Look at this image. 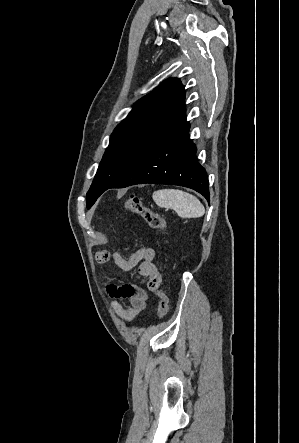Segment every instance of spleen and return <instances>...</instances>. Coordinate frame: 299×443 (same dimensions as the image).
I'll list each match as a JSON object with an SVG mask.
<instances>
[{"instance_id": "spleen-1", "label": "spleen", "mask_w": 299, "mask_h": 443, "mask_svg": "<svg viewBox=\"0 0 299 443\" xmlns=\"http://www.w3.org/2000/svg\"><path fill=\"white\" fill-rule=\"evenodd\" d=\"M152 197L159 207L173 209L182 218H199L205 213V208L199 199L182 190H157Z\"/></svg>"}]
</instances>
